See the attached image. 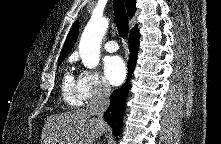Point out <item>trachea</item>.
Instances as JSON below:
<instances>
[{
	"label": "trachea",
	"instance_id": "obj_1",
	"mask_svg": "<svg viewBox=\"0 0 221 144\" xmlns=\"http://www.w3.org/2000/svg\"><path fill=\"white\" fill-rule=\"evenodd\" d=\"M114 15L119 35L126 39L129 33L128 18L123 0H113Z\"/></svg>",
	"mask_w": 221,
	"mask_h": 144
}]
</instances>
